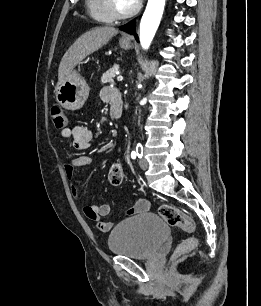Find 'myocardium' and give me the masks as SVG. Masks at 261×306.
<instances>
[{
    "label": "myocardium",
    "instance_id": "f54148a6",
    "mask_svg": "<svg viewBox=\"0 0 261 306\" xmlns=\"http://www.w3.org/2000/svg\"><path fill=\"white\" fill-rule=\"evenodd\" d=\"M106 4H107V8H108L110 14L115 19L129 18V17L135 15L140 8V3L139 2H136L134 7L131 8L130 10H128V11H120L115 4V0H106Z\"/></svg>",
    "mask_w": 261,
    "mask_h": 306
}]
</instances>
